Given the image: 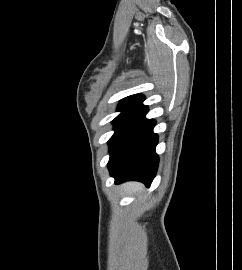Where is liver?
Segmentation results:
<instances>
[{
    "mask_svg": "<svg viewBox=\"0 0 242 270\" xmlns=\"http://www.w3.org/2000/svg\"><path fill=\"white\" fill-rule=\"evenodd\" d=\"M126 190H131L133 193L139 192L142 190V185L139 183H128L124 185Z\"/></svg>",
    "mask_w": 242,
    "mask_h": 270,
    "instance_id": "6515ba94",
    "label": "liver"
}]
</instances>
